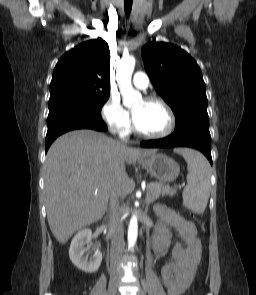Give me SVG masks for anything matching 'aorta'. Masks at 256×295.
I'll list each match as a JSON object with an SVG mask.
<instances>
[{
	"mask_svg": "<svg viewBox=\"0 0 256 295\" xmlns=\"http://www.w3.org/2000/svg\"><path fill=\"white\" fill-rule=\"evenodd\" d=\"M135 67L134 57H125L120 61L117 68V83L123 98V104L130 107L142 100L141 94L136 91L131 83L132 73ZM138 235L137 216L133 215L128 227V246L133 248Z\"/></svg>",
	"mask_w": 256,
	"mask_h": 295,
	"instance_id": "1",
	"label": "aorta"
}]
</instances>
